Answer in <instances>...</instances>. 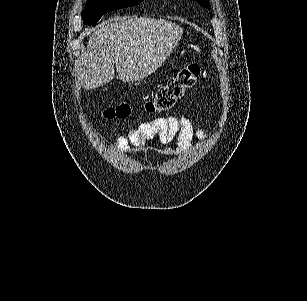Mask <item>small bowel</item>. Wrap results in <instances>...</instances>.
<instances>
[{"mask_svg":"<svg viewBox=\"0 0 307 301\" xmlns=\"http://www.w3.org/2000/svg\"><path fill=\"white\" fill-rule=\"evenodd\" d=\"M194 136L207 139V131L202 124H195L191 119L181 116L156 118L140 122L131 127L126 135L116 139V145L125 152L133 148L142 149L148 140L158 139L162 144L176 142L177 148H162L160 153L167 157L182 155L189 151Z\"/></svg>","mask_w":307,"mask_h":301,"instance_id":"1","label":"small bowel"}]
</instances>
